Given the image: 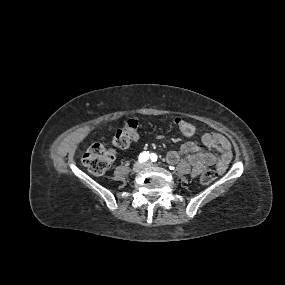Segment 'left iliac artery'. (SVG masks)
<instances>
[{
	"label": "left iliac artery",
	"instance_id": "left-iliac-artery-1",
	"mask_svg": "<svg viewBox=\"0 0 285 285\" xmlns=\"http://www.w3.org/2000/svg\"><path fill=\"white\" fill-rule=\"evenodd\" d=\"M157 159H158V156H157L155 153H151V154H150V160H151L152 162H156Z\"/></svg>",
	"mask_w": 285,
	"mask_h": 285
}]
</instances>
